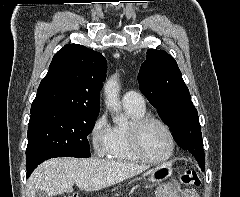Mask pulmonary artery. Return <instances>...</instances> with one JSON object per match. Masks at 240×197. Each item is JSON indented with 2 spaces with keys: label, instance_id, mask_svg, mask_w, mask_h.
<instances>
[{
  "label": "pulmonary artery",
  "instance_id": "pulmonary-artery-1",
  "mask_svg": "<svg viewBox=\"0 0 240 197\" xmlns=\"http://www.w3.org/2000/svg\"><path fill=\"white\" fill-rule=\"evenodd\" d=\"M123 105L126 107H133L137 109L145 108V101L143 96L136 91H127L122 97Z\"/></svg>",
  "mask_w": 240,
  "mask_h": 197
}]
</instances>
